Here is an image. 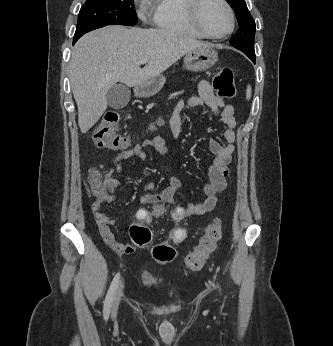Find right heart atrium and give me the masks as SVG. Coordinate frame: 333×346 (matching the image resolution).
I'll return each mask as SVG.
<instances>
[{"mask_svg":"<svg viewBox=\"0 0 333 346\" xmlns=\"http://www.w3.org/2000/svg\"><path fill=\"white\" fill-rule=\"evenodd\" d=\"M138 7V15L139 17L146 21L149 19L152 14L157 0H135Z\"/></svg>","mask_w":333,"mask_h":346,"instance_id":"obj_1","label":"right heart atrium"}]
</instances>
